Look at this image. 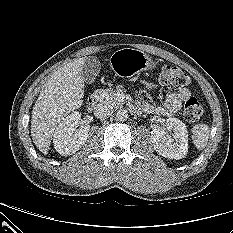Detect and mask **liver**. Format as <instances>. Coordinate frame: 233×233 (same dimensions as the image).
Instances as JSON below:
<instances>
[{"instance_id": "1", "label": "liver", "mask_w": 233, "mask_h": 233, "mask_svg": "<svg viewBox=\"0 0 233 233\" xmlns=\"http://www.w3.org/2000/svg\"><path fill=\"white\" fill-rule=\"evenodd\" d=\"M87 57L74 59L49 77L32 110L31 135L36 147L48 154L57 124L83 103L82 69Z\"/></svg>"}]
</instances>
